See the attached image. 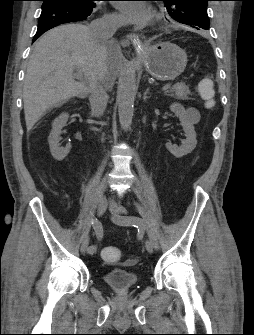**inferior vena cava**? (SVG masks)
<instances>
[{"label": "inferior vena cava", "mask_w": 254, "mask_h": 335, "mask_svg": "<svg viewBox=\"0 0 254 335\" xmlns=\"http://www.w3.org/2000/svg\"><path fill=\"white\" fill-rule=\"evenodd\" d=\"M123 20L115 15H105L91 22L89 30L92 39L97 43L105 42L113 37ZM89 101L94 116H101L106 109L108 95L105 88V74L94 76L89 83Z\"/></svg>", "instance_id": "obj_1"}]
</instances>
